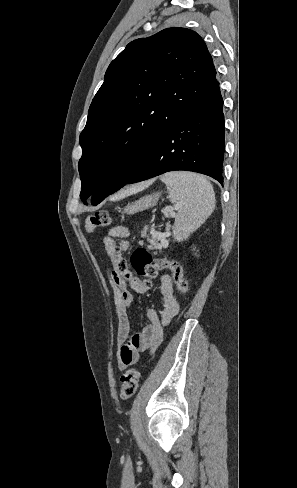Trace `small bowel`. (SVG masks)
<instances>
[{"label":"small bowel","mask_w":297,"mask_h":488,"mask_svg":"<svg viewBox=\"0 0 297 488\" xmlns=\"http://www.w3.org/2000/svg\"><path fill=\"white\" fill-rule=\"evenodd\" d=\"M129 230L123 226L112 228L102 239L106 253L115 254L114 238H121L120 248L129 249L126 240ZM110 283L113 291V311L117 319V360L121 369L136 364L141 352L154 351L162 341L163 328L178 313L179 304L173 294V281L170 275H162L159 280V289L163 298V310L160 315L154 309L147 310L149 323L139 332L130 335L129 309L134 305L132 292L144 294L150 289V284L135 279L124 280L113 273V267L108 269Z\"/></svg>","instance_id":"1"}]
</instances>
